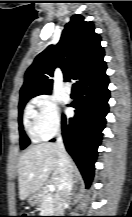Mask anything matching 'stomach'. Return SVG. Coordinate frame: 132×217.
<instances>
[{
    "mask_svg": "<svg viewBox=\"0 0 132 217\" xmlns=\"http://www.w3.org/2000/svg\"><path fill=\"white\" fill-rule=\"evenodd\" d=\"M41 201H42V195H41V192H40V191L35 192V193H32V194L28 197V203H29L31 206L37 205V204H39Z\"/></svg>",
    "mask_w": 132,
    "mask_h": 217,
    "instance_id": "obj_1",
    "label": "stomach"
}]
</instances>
